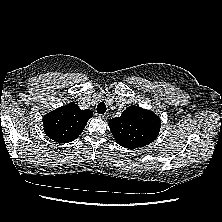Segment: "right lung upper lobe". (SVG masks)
<instances>
[{
  "mask_svg": "<svg viewBox=\"0 0 222 222\" xmlns=\"http://www.w3.org/2000/svg\"><path fill=\"white\" fill-rule=\"evenodd\" d=\"M92 115L91 110H81L75 103L61 106L43 117L45 134L59 143L71 142L82 133Z\"/></svg>",
  "mask_w": 222,
  "mask_h": 222,
  "instance_id": "right-lung-upper-lobe-1",
  "label": "right lung upper lobe"
}]
</instances>
